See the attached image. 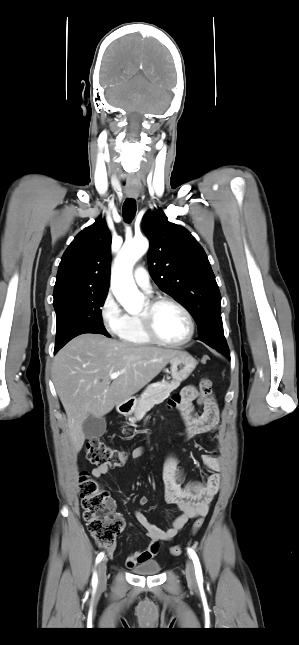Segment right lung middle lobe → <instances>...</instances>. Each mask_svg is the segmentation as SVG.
Here are the masks:
<instances>
[{
	"label": "right lung middle lobe",
	"instance_id": "right-lung-middle-lobe-1",
	"mask_svg": "<svg viewBox=\"0 0 299 645\" xmlns=\"http://www.w3.org/2000/svg\"><path fill=\"white\" fill-rule=\"evenodd\" d=\"M107 292L69 294L56 300V343L60 349L69 340L83 333H98L110 336L101 316Z\"/></svg>",
	"mask_w": 299,
	"mask_h": 645
}]
</instances>
